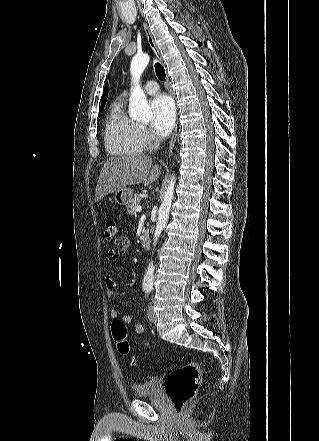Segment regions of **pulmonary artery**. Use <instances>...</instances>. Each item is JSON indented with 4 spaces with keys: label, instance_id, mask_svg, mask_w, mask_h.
Wrapping results in <instances>:
<instances>
[{
    "label": "pulmonary artery",
    "instance_id": "1",
    "mask_svg": "<svg viewBox=\"0 0 319 441\" xmlns=\"http://www.w3.org/2000/svg\"><path fill=\"white\" fill-rule=\"evenodd\" d=\"M143 90H144L147 94L152 95V94H155V93L158 92V90H159V85H158V83H157L156 81H153V80H152V81H148V82L144 85Z\"/></svg>",
    "mask_w": 319,
    "mask_h": 441
}]
</instances>
